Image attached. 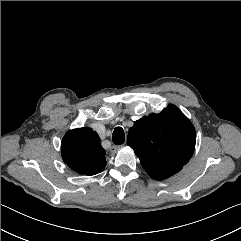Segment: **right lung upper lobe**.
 <instances>
[{"label":"right lung upper lobe","instance_id":"cb5924a9","mask_svg":"<svg viewBox=\"0 0 241 241\" xmlns=\"http://www.w3.org/2000/svg\"><path fill=\"white\" fill-rule=\"evenodd\" d=\"M100 141L98 134L88 127L67 132L61 142L64 162L80 174L94 175L103 171L106 158Z\"/></svg>","mask_w":241,"mask_h":241}]
</instances>
